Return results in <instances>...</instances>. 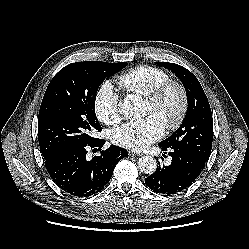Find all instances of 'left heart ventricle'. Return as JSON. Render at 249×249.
Listing matches in <instances>:
<instances>
[{
    "instance_id": "b2bd125f",
    "label": "left heart ventricle",
    "mask_w": 249,
    "mask_h": 249,
    "mask_svg": "<svg viewBox=\"0 0 249 249\" xmlns=\"http://www.w3.org/2000/svg\"><path fill=\"white\" fill-rule=\"evenodd\" d=\"M176 105V93L174 91H170L164 98L162 105L159 109L153 108L148 102L145 101L144 113L146 115L157 116L165 126L166 122L172 117Z\"/></svg>"
}]
</instances>
